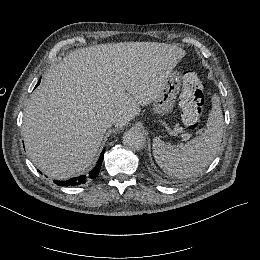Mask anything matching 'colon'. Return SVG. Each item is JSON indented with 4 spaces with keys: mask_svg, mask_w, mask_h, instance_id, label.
<instances>
[{
    "mask_svg": "<svg viewBox=\"0 0 260 260\" xmlns=\"http://www.w3.org/2000/svg\"><path fill=\"white\" fill-rule=\"evenodd\" d=\"M204 90L205 83L195 73L184 75L178 102L182 110L183 125L189 131L200 126Z\"/></svg>",
    "mask_w": 260,
    "mask_h": 260,
    "instance_id": "5ec220e1",
    "label": "colon"
}]
</instances>
